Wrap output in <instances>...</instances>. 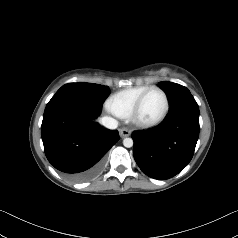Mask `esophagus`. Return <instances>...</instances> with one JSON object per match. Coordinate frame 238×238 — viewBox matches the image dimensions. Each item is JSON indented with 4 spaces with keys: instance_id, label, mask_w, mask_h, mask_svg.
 Returning <instances> with one entry per match:
<instances>
[{
    "instance_id": "obj_1",
    "label": "esophagus",
    "mask_w": 238,
    "mask_h": 238,
    "mask_svg": "<svg viewBox=\"0 0 238 238\" xmlns=\"http://www.w3.org/2000/svg\"><path fill=\"white\" fill-rule=\"evenodd\" d=\"M119 133L122 138H125L131 134V131L127 128H122V129H120Z\"/></svg>"
}]
</instances>
